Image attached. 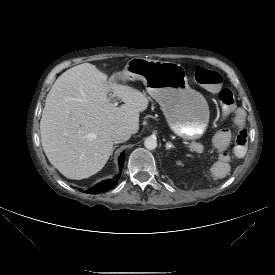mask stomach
Returning a JSON list of instances; mask_svg holds the SVG:
<instances>
[{"mask_svg":"<svg viewBox=\"0 0 275 275\" xmlns=\"http://www.w3.org/2000/svg\"><path fill=\"white\" fill-rule=\"evenodd\" d=\"M118 79L141 80L148 94L159 103L176 135L185 140H196L205 133L210 117L208 103L200 92L189 86L182 65L133 58Z\"/></svg>","mask_w":275,"mask_h":275,"instance_id":"obj_1","label":"stomach"}]
</instances>
